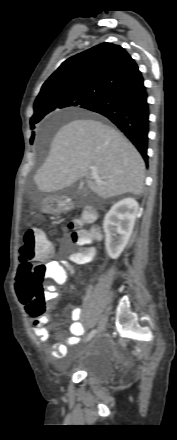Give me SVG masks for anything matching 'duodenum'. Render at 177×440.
<instances>
[{
    "label": "duodenum",
    "mask_w": 177,
    "mask_h": 440,
    "mask_svg": "<svg viewBox=\"0 0 177 440\" xmlns=\"http://www.w3.org/2000/svg\"><path fill=\"white\" fill-rule=\"evenodd\" d=\"M72 207L71 201L68 199H60L57 204V211H68Z\"/></svg>",
    "instance_id": "1"
}]
</instances>
